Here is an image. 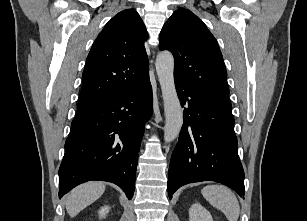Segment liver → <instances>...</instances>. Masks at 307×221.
Wrapping results in <instances>:
<instances>
[{
	"mask_svg": "<svg viewBox=\"0 0 307 221\" xmlns=\"http://www.w3.org/2000/svg\"><path fill=\"white\" fill-rule=\"evenodd\" d=\"M105 191L102 182H87L74 188L65 199L67 213L75 217L84 208L95 202Z\"/></svg>",
	"mask_w": 307,
	"mask_h": 221,
	"instance_id": "6515ba94",
	"label": "liver"
}]
</instances>
